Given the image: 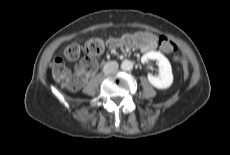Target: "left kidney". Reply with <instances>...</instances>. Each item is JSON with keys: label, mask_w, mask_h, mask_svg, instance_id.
Masks as SVG:
<instances>
[{"label": "left kidney", "mask_w": 230, "mask_h": 155, "mask_svg": "<svg viewBox=\"0 0 230 155\" xmlns=\"http://www.w3.org/2000/svg\"><path fill=\"white\" fill-rule=\"evenodd\" d=\"M149 60H156L159 67V75H148V80L151 85L157 89H167L173 83L172 67L169 60L160 52L149 51L145 53L142 58V63H147Z\"/></svg>", "instance_id": "1"}]
</instances>
